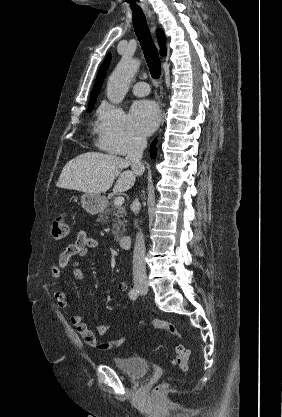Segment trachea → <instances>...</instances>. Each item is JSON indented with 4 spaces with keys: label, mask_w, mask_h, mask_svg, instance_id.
<instances>
[{
    "label": "trachea",
    "mask_w": 282,
    "mask_h": 417,
    "mask_svg": "<svg viewBox=\"0 0 282 417\" xmlns=\"http://www.w3.org/2000/svg\"><path fill=\"white\" fill-rule=\"evenodd\" d=\"M132 21L136 36L142 46L151 77L158 79L161 74L160 58L142 10H132Z\"/></svg>",
    "instance_id": "1"
}]
</instances>
